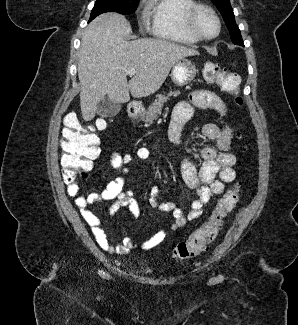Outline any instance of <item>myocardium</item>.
I'll return each instance as SVG.
<instances>
[{
    "label": "myocardium",
    "mask_w": 298,
    "mask_h": 325,
    "mask_svg": "<svg viewBox=\"0 0 298 325\" xmlns=\"http://www.w3.org/2000/svg\"><path fill=\"white\" fill-rule=\"evenodd\" d=\"M200 11H206L212 17L215 23V33L209 38H204L201 36V34L195 28L194 20ZM182 24L184 30L200 43L211 42L215 40L220 33V24L217 16L208 6L203 4H195L188 11H186L182 17Z\"/></svg>",
    "instance_id": "1"
}]
</instances>
